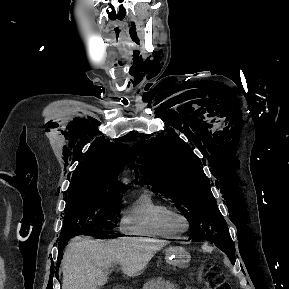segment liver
<instances>
[{
	"label": "liver",
	"instance_id": "6515ba94",
	"mask_svg": "<svg viewBox=\"0 0 289 289\" xmlns=\"http://www.w3.org/2000/svg\"><path fill=\"white\" fill-rule=\"evenodd\" d=\"M165 240L120 238L103 242L76 237L68 245L62 260V289H98L107 282L104 268L112 262L130 277L140 274Z\"/></svg>",
	"mask_w": 289,
	"mask_h": 289
}]
</instances>
